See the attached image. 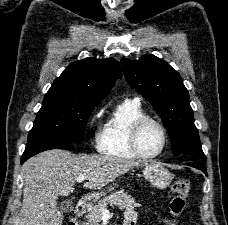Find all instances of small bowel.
Returning a JSON list of instances; mask_svg holds the SVG:
<instances>
[{
    "label": "small bowel",
    "instance_id": "1",
    "mask_svg": "<svg viewBox=\"0 0 228 225\" xmlns=\"http://www.w3.org/2000/svg\"><path fill=\"white\" fill-rule=\"evenodd\" d=\"M136 217H137V215L134 211H128L125 214V219L131 218L134 220V223H135ZM164 223H165V225H176L175 222H173L172 220H168V219H165Z\"/></svg>",
    "mask_w": 228,
    "mask_h": 225
}]
</instances>
